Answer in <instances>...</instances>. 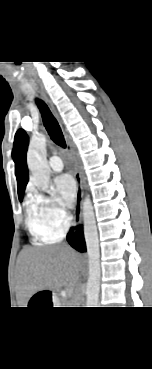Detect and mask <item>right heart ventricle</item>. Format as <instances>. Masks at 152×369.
Here are the masks:
<instances>
[{
  "mask_svg": "<svg viewBox=\"0 0 152 369\" xmlns=\"http://www.w3.org/2000/svg\"><path fill=\"white\" fill-rule=\"evenodd\" d=\"M26 225L36 243L54 241L61 236L50 232L31 199L27 203Z\"/></svg>",
  "mask_w": 152,
  "mask_h": 369,
  "instance_id": "obj_1",
  "label": "right heart ventricle"
}]
</instances>
